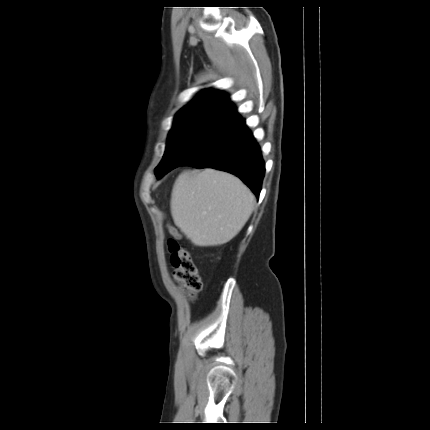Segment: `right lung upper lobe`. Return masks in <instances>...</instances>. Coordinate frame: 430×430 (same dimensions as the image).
Here are the masks:
<instances>
[{
  "mask_svg": "<svg viewBox=\"0 0 430 430\" xmlns=\"http://www.w3.org/2000/svg\"><path fill=\"white\" fill-rule=\"evenodd\" d=\"M209 105L228 106L231 107V109L235 112V108L228 100V95L226 93L213 89H206L201 91L192 100V102L183 109L199 108Z\"/></svg>",
  "mask_w": 430,
  "mask_h": 430,
  "instance_id": "obj_1",
  "label": "right lung upper lobe"
}]
</instances>
